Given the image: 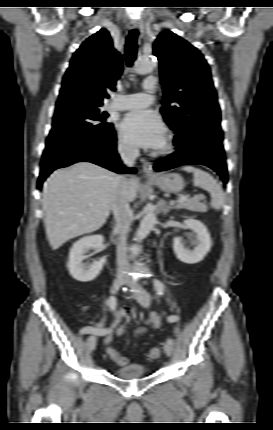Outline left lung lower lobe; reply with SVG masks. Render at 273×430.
<instances>
[{
  "instance_id": "obj_1",
  "label": "left lung lower lobe",
  "mask_w": 273,
  "mask_h": 430,
  "mask_svg": "<svg viewBox=\"0 0 273 430\" xmlns=\"http://www.w3.org/2000/svg\"><path fill=\"white\" fill-rule=\"evenodd\" d=\"M220 121L202 117L196 124L186 127L175 136L177 151L156 160L155 171H165L187 164H202L215 170L227 183V166L222 146Z\"/></svg>"
}]
</instances>
